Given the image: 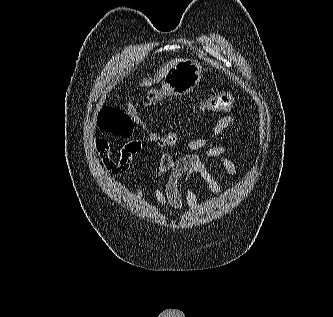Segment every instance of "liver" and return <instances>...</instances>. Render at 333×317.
<instances>
[{
    "label": "liver",
    "mask_w": 333,
    "mask_h": 317,
    "mask_svg": "<svg viewBox=\"0 0 333 317\" xmlns=\"http://www.w3.org/2000/svg\"><path fill=\"white\" fill-rule=\"evenodd\" d=\"M180 61H181V59H175V60H171L168 63H166L164 65V67H162L161 71L159 72V78H158V80H160L161 78L165 77L167 75V73L169 72V70L171 68H173ZM148 84H150V83H148Z\"/></svg>",
    "instance_id": "obj_1"
}]
</instances>
